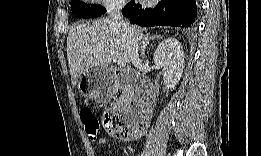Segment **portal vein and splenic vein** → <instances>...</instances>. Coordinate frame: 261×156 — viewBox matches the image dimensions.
<instances>
[{"instance_id":"18ae733b","label":"portal vein and splenic vein","mask_w":261,"mask_h":156,"mask_svg":"<svg viewBox=\"0 0 261 156\" xmlns=\"http://www.w3.org/2000/svg\"><path fill=\"white\" fill-rule=\"evenodd\" d=\"M117 64L120 66V67H124L126 65V61L124 59H118L117 60Z\"/></svg>"}]
</instances>
